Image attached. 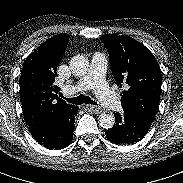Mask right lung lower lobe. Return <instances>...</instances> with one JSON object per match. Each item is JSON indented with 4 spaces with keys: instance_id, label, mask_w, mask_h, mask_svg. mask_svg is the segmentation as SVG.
I'll use <instances>...</instances> for the list:
<instances>
[{
    "instance_id": "1",
    "label": "right lung lower lobe",
    "mask_w": 183,
    "mask_h": 183,
    "mask_svg": "<svg viewBox=\"0 0 183 183\" xmlns=\"http://www.w3.org/2000/svg\"><path fill=\"white\" fill-rule=\"evenodd\" d=\"M78 109L67 118H49L48 116L35 118L29 125L32 136L48 149L59 150L67 147L73 138L74 121Z\"/></svg>"
}]
</instances>
